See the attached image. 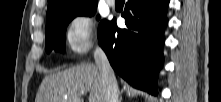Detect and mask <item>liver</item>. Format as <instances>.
Wrapping results in <instances>:
<instances>
[{
	"instance_id": "1",
	"label": "liver",
	"mask_w": 221,
	"mask_h": 102,
	"mask_svg": "<svg viewBox=\"0 0 221 102\" xmlns=\"http://www.w3.org/2000/svg\"><path fill=\"white\" fill-rule=\"evenodd\" d=\"M87 92L89 102H104L102 72L94 64H81L46 76L35 102H84L82 96Z\"/></svg>"
}]
</instances>
